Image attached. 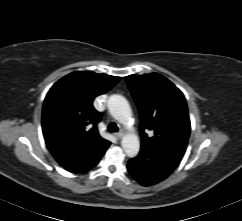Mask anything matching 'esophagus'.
Listing matches in <instances>:
<instances>
[{"instance_id": "34e87169", "label": "esophagus", "mask_w": 242, "mask_h": 221, "mask_svg": "<svg viewBox=\"0 0 242 221\" xmlns=\"http://www.w3.org/2000/svg\"><path fill=\"white\" fill-rule=\"evenodd\" d=\"M124 133L123 132H118V133H115L114 136L117 138V139H121L123 137Z\"/></svg>"}]
</instances>
